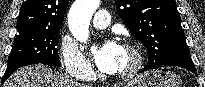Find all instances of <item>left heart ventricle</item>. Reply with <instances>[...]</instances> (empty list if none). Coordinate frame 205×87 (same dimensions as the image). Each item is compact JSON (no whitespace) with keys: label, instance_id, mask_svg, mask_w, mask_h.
<instances>
[{"label":"left heart ventricle","instance_id":"1","mask_svg":"<svg viewBox=\"0 0 205 87\" xmlns=\"http://www.w3.org/2000/svg\"><path fill=\"white\" fill-rule=\"evenodd\" d=\"M134 60L133 54L125 48H121L117 62L116 72L125 71L132 65Z\"/></svg>","mask_w":205,"mask_h":87}]
</instances>
